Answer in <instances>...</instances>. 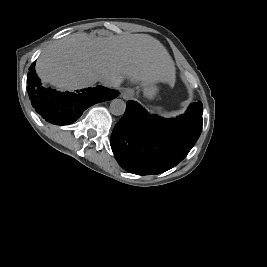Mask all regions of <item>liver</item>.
I'll list each match as a JSON object with an SVG mask.
<instances>
[{
    "instance_id": "liver-1",
    "label": "liver",
    "mask_w": 267,
    "mask_h": 267,
    "mask_svg": "<svg viewBox=\"0 0 267 267\" xmlns=\"http://www.w3.org/2000/svg\"><path fill=\"white\" fill-rule=\"evenodd\" d=\"M35 69L43 82L62 90L92 86L102 75L114 78L116 86L125 78L142 84L175 80L174 62L166 48L147 34L93 38L74 33L48 45Z\"/></svg>"
}]
</instances>
